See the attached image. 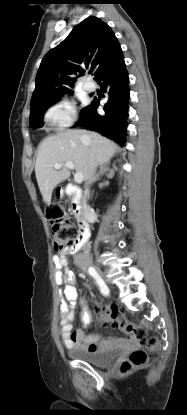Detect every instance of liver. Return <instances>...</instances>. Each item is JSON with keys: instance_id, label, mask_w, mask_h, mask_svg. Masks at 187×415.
Wrapping results in <instances>:
<instances>
[{"instance_id": "6515ba94", "label": "liver", "mask_w": 187, "mask_h": 415, "mask_svg": "<svg viewBox=\"0 0 187 415\" xmlns=\"http://www.w3.org/2000/svg\"><path fill=\"white\" fill-rule=\"evenodd\" d=\"M118 145L99 133L84 130H67L45 138L39 145L35 164V175L47 205L51 203L53 189L71 175L65 163H74L77 171L88 179L90 157L97 165L110 161ZM61 164L59 170L54 168Z\"/></svg>"}]
</instances>
